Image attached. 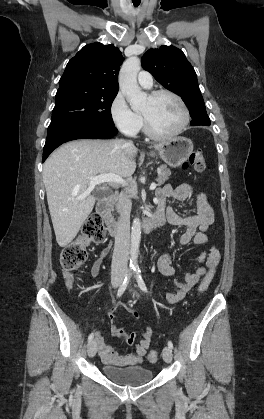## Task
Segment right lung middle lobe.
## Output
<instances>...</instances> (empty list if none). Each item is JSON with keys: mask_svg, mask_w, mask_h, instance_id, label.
Instances as JSON below:
<instances>
[{"mask_svg": "<svg viewBox=\"0 0 264 419\" xmlns=\"http://www.w3.org/2000/svg\"><path fill=\"white\" fill-rule=\"evenodd\" d=\"M116 95L78 84L59 87L47 138L79 125L114 127L111 105Z\"/></svg>", "mask_w": 264, "mask_h": 419, "instance_id": "dd1d6c3e", "label": "right lung middle lobe"}]
</instances>
